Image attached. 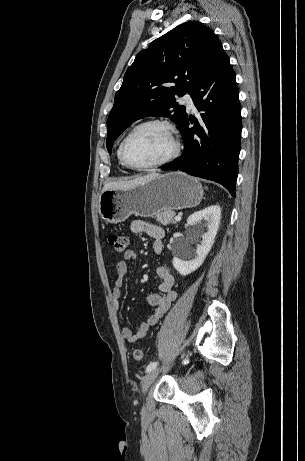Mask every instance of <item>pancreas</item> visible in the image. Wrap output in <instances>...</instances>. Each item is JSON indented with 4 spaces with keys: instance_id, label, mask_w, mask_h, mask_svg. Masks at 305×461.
Instances as JSON below:
<instances>
[{
    "instance_id": "1",
    "label": "pancreas",
    "mask_w": 305,
    "mask_h": 461,
    "mask_svg": "<svg viewBox=\"0 0 305 461\" xmlns=\"http://www.w3.org/2000/svg\"><path fill=\"white\" fill-rule=\"evenodd\" d=\"M174 211H161L155 214V219L158 223L167 226L169 224H175L177 221L174 220Z\"/></svg>"
}]
</instances>
